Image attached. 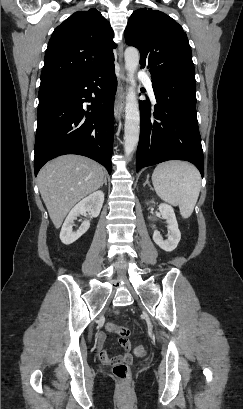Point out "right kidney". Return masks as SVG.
Returning <instances> with one entry per match:
<instances>
[{
    "label": "right kidney",
    "mask_w": 243,
    "mask_h": 409,
    "mask_svg": "<svg viewBox=\"0 0 243 409\" xmlns=\"http://www.w3.org/2000/svg\"><path fill=\"white\" fill-rule=\"evenodd\" d=\"M104 202V193L102 191H96L83 200H81L74 208L69 212L67 218L60 232V240L62 243L69 245L80 238L90 227V222L85 220L76 232H73L72 227L74 220L80 215L90 212L92 217H97L100 214L102 205Z\"/></svg>",
    "instance_id": "obj_1"
}]
</instances>
